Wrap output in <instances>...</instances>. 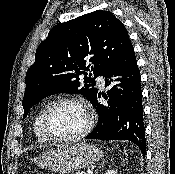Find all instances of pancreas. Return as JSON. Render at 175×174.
Returning a JSON list of instances; mask_svg holds the SVG:
<instances>
[{
    "label": "pancreas",
    "instance_id": "obj_1",
    "mask_svg": "<svg viewBox=\"0 0 175 174\" xmlns=\"http://www.w3.org/2000/svg\"><path fill=\"white\" fill-rule=\"evenodd\" d=\"M75 174H86L85 172H83V171H79V172H76Z\"/></svg>",
    "mask_w": 175,
    "mask_h": 174
}]
</instances>
